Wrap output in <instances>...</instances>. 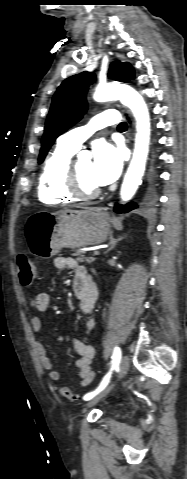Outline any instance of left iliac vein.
<instances>
[{
    "mask_svg": "<svg viewBox=\"0 0 187 479\" xmlns=\"http://www.w3.org/2000/svg\"><path fill=\"white\" fill-rule=\"evenodd\" d=\"M128 368H129V358L127 355H123L119 365V374L117 376L118 380L123 378L126 375ZM114 386H115V382H111L110 384H108L97 397L90 400L86 404V407L90 408L93 405H95L102 397L106 396L114 388Z\"/></svg>",
    "mask_w": 187,
    "mask_h": 479,
    "instance_id": "obj_1",
    "label": "left iliac vein"
}]
</instances>
